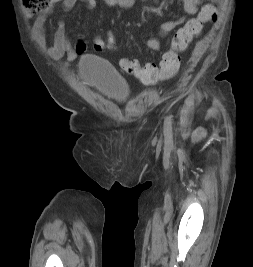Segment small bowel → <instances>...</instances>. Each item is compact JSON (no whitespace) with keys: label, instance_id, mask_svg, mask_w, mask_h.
<instances>
[{"label":"small bowel","instance_id":"obj_1","mask_svg":"<svg viewBox=\"0 0 253 267\" xmlns=\"http://www.w3.org/2000/svg\"><path fill=\"white\" fill-rule=\"evenodd\" d=\"M65 11L71 10L78 0H61ZM85 8L93 10L97 7V0H81ZM107 6L129 9L133 7L136 0H102ZM186 15H194L198 12L202 0H178ZM185 21V17L163 22L159 27V35L165 36L175 31ZM45 16L40 15L34 25V37L39 46L52 59L65 58V64L74 61L79 54L86 51V43L80 38L74 45L70 42L65 23L61 20L57 24L52 45H47L45 40ZM147 46L153 51H160L162 43L158 37H149Z\"/></svg>","mask_w":253,"mask_h":267}]
</instances>
